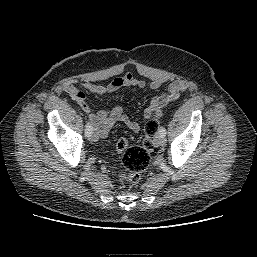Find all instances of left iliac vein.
<instances>
[{
  "instance_id": "1",
  "label": "left iliac vein",
  "mask_w": 257,
  "mask_h": 257,
  "mask_svg": "<svg viewBox=\"0 0 257 257\" xmlns=\"http://www.w3.org/2000/svg\"><path fill=\"white\" fill-rule=\"evenodd\" d=\"M156 139H157V142H158V144H160V145H165V143H166V138H165V136H163L162 134H158L157 135V137H156Z\"/></svg>"
}]
</instances>
